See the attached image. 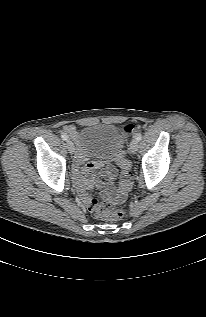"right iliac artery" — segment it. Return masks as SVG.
<instances>
[{"label":"right iliac artery","mask_w":206,"mask_h":317,"mask_svg":"<svg viewBox=\"0 0 206 317\" xmlns=\"http://www.w3.org/2000/svg\"><path fill=\"white\" fill-rule=\"evenodd\" d=\"M61 138H62L64 141L68 140V136L65 135V134H62V135H61Z\"/></svg>","instance_id":"right-iliac-artery-1"}]
</instances>
